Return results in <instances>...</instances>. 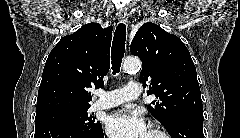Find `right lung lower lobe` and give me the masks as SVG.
<instances>
[{"label":"right lung lower lobe","mask_w":240,"mask_h":138,"mask_svg":"<svg viewBox=\"0 0 240 138\" xmlns=\"http://www.w3.org/2000/svg\"><path fill=\"white\" fill-rule=\"evenodd\" d=\"M34 138H104L103 130L87 132L67 122L35 126Z\"/></svg>","instance_id":"1"}]
</instances>
